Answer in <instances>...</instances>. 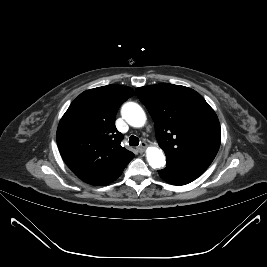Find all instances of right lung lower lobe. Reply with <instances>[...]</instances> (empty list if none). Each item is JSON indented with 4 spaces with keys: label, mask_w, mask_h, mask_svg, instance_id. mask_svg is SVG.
Instances as JSON below:
<instances>
[{
    "label": "right lung lower lobe",
    "mask_w": 267,
    "mask_h": 267,
    "mask_svg": "<svg viewBox=\"0 0 267 267\" xmlns=\"http://www.w3.org/2000/svg\"><path fill=\"white\" fill-rule=\"evenodd\" d=\"M122 174V173H121ZM121 174H119L117 177H115L113 180H111V181H109V182H107L106 184H104V185H108L109 183H111V182H113L114 180H116Z\"/></svg>",
    "instance_id": "1"
}]
</instances>
